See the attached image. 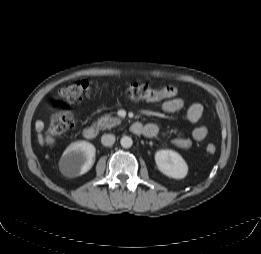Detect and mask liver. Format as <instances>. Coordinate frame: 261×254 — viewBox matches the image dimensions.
Here are the masks:
<instances>
[{
  "instance_id": "liver-1",
  "label": "liver",
  "mask_w": 261,
  "mask_h": 254,
  "mask_svg": "<svg viewBox=\"0 0 261 254\" xmlns=\"http://www.w3.org/2000/svg\"><path fill=\"white\" fill-rule=\"evenodd\" d=\"M43 127H44L43 122H42V121H37V123H36V128H37V131H38V133H39V134H38V141H39V144H40L41 146L44 145L43 136H42V134H41V131H42Z\"/></svg>"
}]
</instances>
